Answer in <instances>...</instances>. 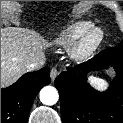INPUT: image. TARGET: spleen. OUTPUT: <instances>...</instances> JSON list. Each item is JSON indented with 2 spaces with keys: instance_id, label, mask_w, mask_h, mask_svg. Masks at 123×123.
<instances>
[{
  "instance_id": "3e777b00",
  "label": "spleen",
  "mask_w": 123,
  "mask_h": 123,
  "mask_svg": "<svg viewBox=\"0 0 123 123\" xmlns=\"http://www.w3.org/2000/svg\"><path fill=\"white\" fill-rule=\"evenodd\" d=\"M87 80L98 91H104L108 88V82L99 76H88Z\"/></svg>"
}]
</instances>
